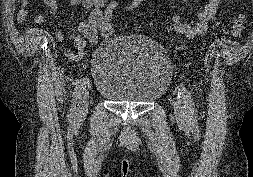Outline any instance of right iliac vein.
Here are the masks:
<instances>
[{
    "mask_svg": "<svg viewBox=\"0 0 253 177\" xmlns=\"http://www.w3.org/2000/svg\"><path fill=\"white\" fill-rule=\"evenodd\" d=\"M90 98V92L85 90L79 97L78 112L80 116H83L88 109V103Z\"/></svg>",
    "mask_w": 253,
    "mask_h": 177,
    "instance_id": "1",
    "label": "right iliac vein"
}]
</instances>
